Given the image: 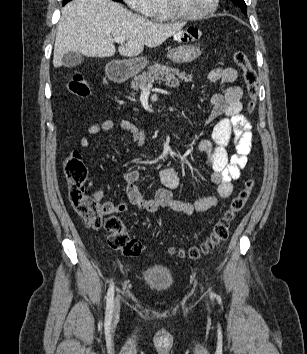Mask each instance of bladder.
Returning <instances> with one entry per match:
<instances>
[{
    "instance_id": "1",
    "label": "bladder",
    "mask_w": 307,
    "mask_h": 354,
    "mask_svg": "<svg viewBox=\"0 0 307 354\" xmlns=\"http://www.w3.org/2000/svg\"><path fill=\"white\" fill-rule=\"evenodd\" d=\"M142 280L149 287L163 291L173 286L175 277L170 268L163 265H153L143 271Z\"/></svg>"
}]
</instances>
